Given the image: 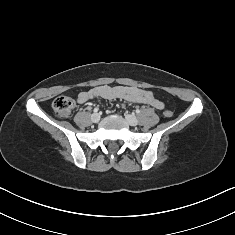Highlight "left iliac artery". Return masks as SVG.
I'll use <instances>...</instances> for the list:
<instances>
[{
	"label": "left iliac artery",
	"instance_id": "obj_1",
	"mask_svg": "<svg viewBox=\"0 0 235 235\" xmlns=\"http://www.w3.org/2000/svg\"><path fill=\"white\" fill-rule=\"evenodd\" d=\"M135 112H136L137 114H139V113H140V110H139V109H137Z\"/></svg>",
	"mask_w": 235,
	"mask_h": 235
}]
</instances>
